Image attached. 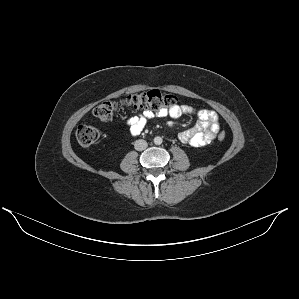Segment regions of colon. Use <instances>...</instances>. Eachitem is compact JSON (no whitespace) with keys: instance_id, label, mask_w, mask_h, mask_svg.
<instances>
[{"instance_id":"5ec220e1","label":"colon","mask_w":299,"mask_h":299,"mask_svg":"<svg viewBox=\"0 0 299 299\" xmlns=\"http://www.w3.org/2000/svg\"><path fill=\"white\" fill-rule=\"evenodd\" d=\"M176 98L174 95L161 92L159 90H149L146 92L128 95L120 100H105L100 102L93 110L96 118L108 121L113 118L119 109L130 110H167L174 107ZM226 137L224 132L217 135L218 140L223 141ZM100 138L99 130L90 125L79 126L76 131V139L83 146H90Z\"/></svg>"}]
</instances>
